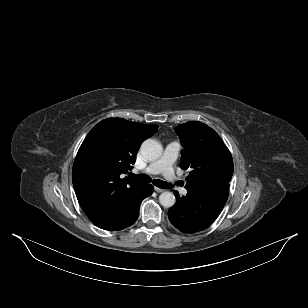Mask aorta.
<instances>
[{
	"label": "aorta",
	"mask_w": 308,
	"mask_h": 308,
	"mask_svg": "<svg viewBox=\"0 0 308 308\" xmlns=\"http://www.w3.org/2000/svg\"><path fill=\"white\" fill-rule=\"evenodd\" d=\"M141 152L148 160H156L162 154V146L155 139H147L141 145ZM175 196L172 192H163L159 196V202L164 207H172L175 204Z\"/></svg>",
	"instance_id": "aorta-1"
}]
</instances>
